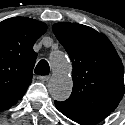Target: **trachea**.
Instances as JSON below:
<instances>
[{
    "instance_id": "trachea-1",
    "label": "trachea",
    "mask_w": 125,
    "mask_h": 125,
    "mask_svg": "<svg viewBox=\"0 0 125 125\" xmlns=\"http://www.w3.org/2000/svg\"><path fill=\"white\" fill-rule=\"evenodd\" d=\"M49 72H50L49 63L44 59L40 60L36 65L35 73L37 75H48Z\"/></svg>"
}]
</instances>
